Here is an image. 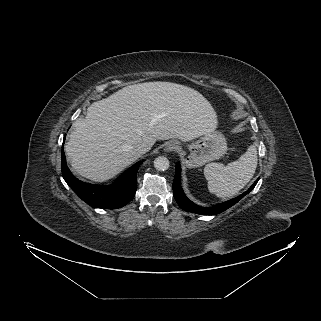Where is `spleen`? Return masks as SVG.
<instances>
[{
	"label": "spleen",
	"instance_id": "obj_1",
	"mask_svg": "<svg viewBox=\"0 0 321 321\" xmlns=\"http://www.w3.org/2000/svg\"><path fill=\"white\" fill-rule=\"evenodd\" d=\"M257 160L256 146L251 145L238 160L226 166L221 163L207 164L204 175L208 181V190L220 198L235 195L253 177Z\"/></svg>",
	"mask_w": 321,
	"mask_h": 321
}]
</instances>
